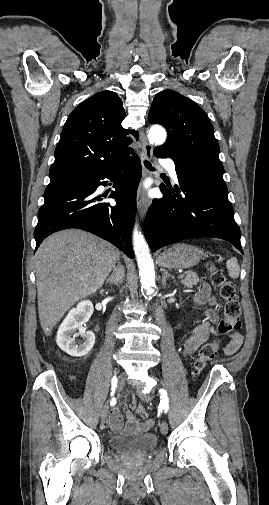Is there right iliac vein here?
Masks as SVG:
<instances>
[{"label": "right iliac vein", "mask_w": 269, "mask_h": 505, "mask_svg": "<svg viewBox=\"0 0 269 505\" xmlns=\"http://www.w3.org/2000/svg\"><path fill=\"white\" fill-rule=\"evenodd\" d=\"M115 385H117L116 389L118 391H121L123 389V387L126 385L125 376H123L122 374H119L117 376ZM108 402H109V399L105 402V404L103 405L102 410H101V421L103 424L106 422L107 417H108V409H109Z\"/></svg>", "instance_id": "obj_1"}]
</instances>
